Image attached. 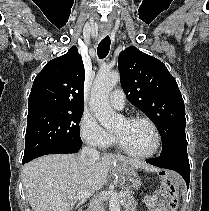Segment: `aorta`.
Returning a JSON list of instances; mask_svg holds the SVG:
<instances>
[{"label":"aorta","instance_id":"762f6f07","mask_svg":"<svg viewBox=\"0 0 209 211\" xmlns=\"http://www.w3.org/2000/svg\"><path fill=\"white\" fill-rule=\"evenodd\" d=\"M119 81L120 74L116 71L100 72L91 90L90 109L100 124L108 130L115 128L122 119L109 104V93ZM109 211H120L119 199L115 194L110 197Z\"/></svg>","mask_w":209,"mask_h":211}]
</instances>
